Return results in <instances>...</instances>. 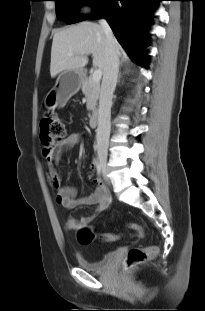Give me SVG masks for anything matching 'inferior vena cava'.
<instances>
[{"label":"inferior vena cava","instance_id":"1","mask_svg":"<svg viewBox=\"0 0 205 311\" xmlns=\"http://www.w3.org/2000/svg\"><path fill=\"white\" fill-rule=\"evenodd\" d=\"M100 24L107 38V49L106 68L103 73L99 98L96 142L97 148L106 152L110 136L112 97L115 91L119 71V57L116 49V40L108 22L105 19H102Z\"/></svg>","mask_w":205,"mask_h":311}]
</instances>
